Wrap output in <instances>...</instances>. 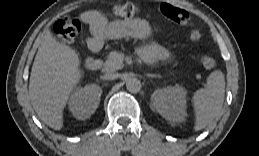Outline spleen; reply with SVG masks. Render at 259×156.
<instances>
[{"instance_id": "spleen-1", "label": "spleen", "mask_w": 259, "mask_h": 156, "mask_svg": "<svg viewBox=\"0 0 259 156\" xmlns=\"http://www.w3.org/2000/svg\"><path fill=\"white\" fill-rule=\"evenodd\" d=\"M224 96V74L215 70L208 76L206 87L197 90L192 97L196 131L205 128L217 117L223 106Z\"/></svg>"}]
</instances>
